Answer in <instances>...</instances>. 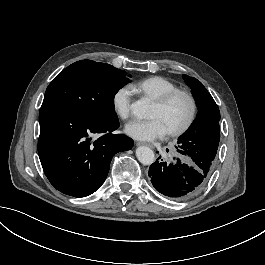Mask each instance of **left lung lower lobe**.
I'll use <instances>...</instances> for the list:
<instances>
[{"label":"left lung lower lobe","instance_id":"obj_1","mask_svg":"<svg viewBox=\"0 0 265 265\" xmlns=\"http://www.w3.org/2000/svg\"><path fill=\"white\" fill-rule=\"evenodd\" d=\"M211 171L210 165L194 160L185 164L177 159V162L167 164L157 159L150 166L148 175L158 192L173 200L183 201L190 199L201 190Z\"/></svg>","mask_w":265,"mask_h":265}]
</instances>
